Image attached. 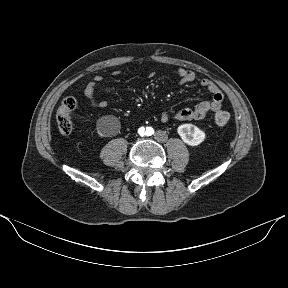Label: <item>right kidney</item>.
Listing matches in <instances>:
<instances>
[{
    "instance_id": "1",
    "label": "right kidney",
    "mask_w": 288,
    "mask_h": 288,
    "mask_svg": "<svg viewBox=\"0 0 288 288\" xmlns=\"http://www.w3.org/2000/svg\"><path fill=\"white\" fill-rule=\"evenodd\" d=\"M113 116H103L97 121V132L100 137H108L112 134Z\"/></svg>"
}]
</instances>
